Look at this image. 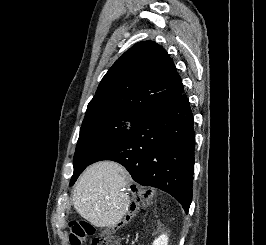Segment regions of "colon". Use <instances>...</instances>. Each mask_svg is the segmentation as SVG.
<instances>
[{
    "mask_svg": "<svg viewBox=\"0 0 266 245\" xmlns=\"http://www.w3.org/2000/svg\"><path fill=\"white\" fill-rule=\"evenodd\" d=\"M136 200L140 204H147L149 202V197L139 196ZM87 238L89 245H122L119 240L115 239L107 232H104L100 236H95V230L92 225L85 221L78 223L76 220H72L69 224V244L83 245Z\"/></svg>",
    "mask_w": 266,
    "mask_h": 245,
    "instance_id": "obj_1",
    "label": "colon"
}]
</instances>
